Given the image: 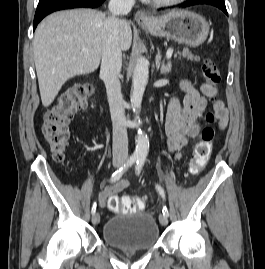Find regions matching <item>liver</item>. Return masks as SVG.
I'll list each match as a JSON object with an SVG mask.
<instances>
[{
	"label": "liver",
	"mask_w": 265,
	"mask_h": 269,
	"mask_svg": "<svg viewBox=\"0 0 265 269\" xmlns=\"http://www.w3.org/2000/svg\"><path fill=\"white\" fill-rule=\"evenodd\" d=\"M106 19L100 11L75 9L52 13L37 26L33 53L45 107L54 101L66 81L98 68ZM119 43L123 51L132 44L131 27L124 19L119 20Z\"/></svg>",
	"instance_id": "obj_1"
}]
</instances>
